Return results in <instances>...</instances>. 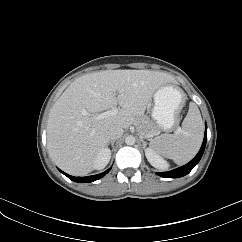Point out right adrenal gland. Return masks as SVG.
<instances>
[{
  "label": "right adrenal gland",
  "mask_w": 242,
  "mask_h": 242,
  "mask_svg": "<svg viewBox=\"0 0 242 242\" xmlns=\"http://www.w3.org/2000/svg\"><path fill=\"white\" fill-rule=\"evenodd\" d=\"M114 143H115V140H113V141H109V142H108V145L111 144V146L114 148Z\"/></svg>",
  "instance_id": "obj_1"
}]
</instances>
